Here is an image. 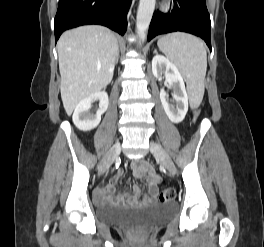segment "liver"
I'll use <instances>...</instances> for the list:
<instances>
[{"instance_id":"liver-1","label":"liver","mask_w":264,"mask_h":247,"mask_svg":"<svg viewBox=\"0 0 264 247\" xmlns=\"http://www.w3.org/2000/svg\"><path fill=\"white\" fill-rule=\"evenodd\" d=\"M57 51L61 98L67 115H71L81 100L111 82L118 42L106 27L88 25L64 32Z\"/></svg>"}]
</instances>
